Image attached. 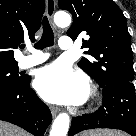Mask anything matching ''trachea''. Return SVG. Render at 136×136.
<instances>
[{"instance_id": "3493384b", "label": "trachea", "mask_w": 136, "mask_h": 136, "mask_svg": "<svg viewBox=\"0 0 136 136\" xmlns=\"http://www.w3.org/2000/svg\"><path fill=\"white\" fill-rule=\"evenodd\" d=\"M54 44V35L49 24L47 17L43 18V34L38 43L35 44V48L44 49Z\"/></svg>"}]
</instances>
